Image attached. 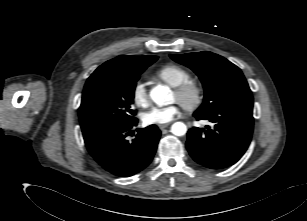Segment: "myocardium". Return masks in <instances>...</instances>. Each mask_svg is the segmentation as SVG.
<instances>
[{"label":"myocardium","mask_w":307,"mask_h":221,"mask_svg":"<svg viewBox=\"0 0 307 221\" xmlns=\"http://www.w3.org/2000/svg\"><path fill=\"white\" fill-rule=\"evenodd\" d=\"M177 100L189 112H195L201 108L205 101V89L201 83L195 80H187L174 87Z\"/></svg>","instance_id":"f54148a6"}]
</instances>
